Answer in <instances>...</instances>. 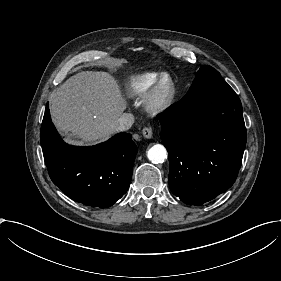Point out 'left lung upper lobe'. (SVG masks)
Instances as JSON below:
<instances>
[{"instance_id":"5c2ea615","label":"left lung upper lobe","mask_w":281,"mask_h":281,"mask_svg":"<svg viewBox=\"0 0 281 281\" xmlns=\"http://www.w3.org/2000/svg\"><path fill=\"white\" fill-rule=\"evenodd\" d=\"M232 92L234 90L226 83L217 70L210 66H201L189 91L182 100Z\"/></svg>"}]
</instances>
